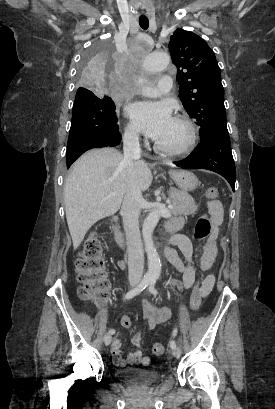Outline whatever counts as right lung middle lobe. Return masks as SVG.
<instances>
[{"label":"right lung middle lobe","instance_id":"right-lung-middle-lobe-1","mask_svg":"<svg viewBox=\"0 0 275 409\" xmlns=\"http://www.w3.org/2000/svg\"><path fill=\"white\" fill-rule=\"evenodd\" d=\"M114 48V42L99 36L92 42V50H85L77 72L78 90H104L105 85H116L113 59L119 58V51ZM121 102V96H104L103 92L76 93L63 177L72 172V163L87 150L119 144L115 110Z\"/></svg>","mask_w":275,"mask_h":409}]
</instances>
